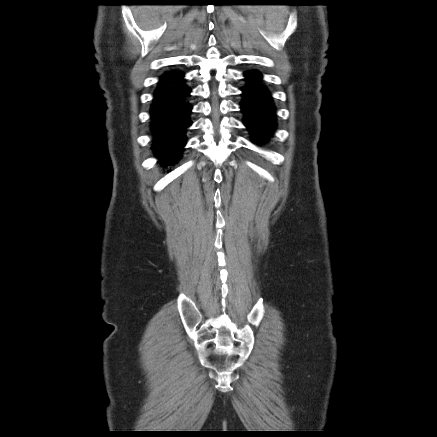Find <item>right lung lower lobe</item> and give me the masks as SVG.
Returning a JSON list of instances; mask_svg holds the SVG:
<instances>
[{
    "instance_id": "obj_1",
    "label": "right lung lower lobe",
    "mask_w": 437,
    "mask_h": 437,
    "mask_svg": "<svg viewBox=\"0 0 437 437\" xmlns=\"http://www.w3.org/2000/svg\"><path fill=\"white\" fill-rule=\"evenodd\" d=\"M190 93L183 72L167 71L159 79L150 115L152 148L162 163H174L186 144V132L192 124Z\"/></svg>"
}]
</instances>
